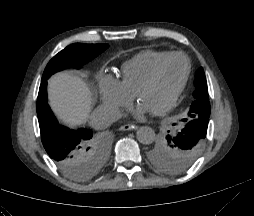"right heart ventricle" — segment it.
Wrapping results in <instances>:
<instances>
[{
  "label": "right heart ventricle",
  "instance_id": "obj_1",
  "mask_svg": "<svg viewBox=\"0 0 254 216\" xmlns=\"http://www.w3.org/2000/svg\"><path fill=\"white\" fill-rule=\"evenodd\" d=\"M170 53L144 50L126 61L121 66V87L129 94H135L147 80L156 64Z\"/></svg>",
  "mask_w": 254,
  "mask_h": 216
}]
</instances>
